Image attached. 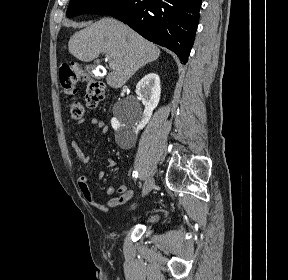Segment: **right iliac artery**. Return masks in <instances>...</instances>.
<instances>
[{
  "label": "right iliac artery",
  "mask_w": 288,
  "mask_h": 280,
  "mask_svg": "<svg viewBox=\"0 0 288 280\" xmlns=\"http://www.w3.org/2000/svg\"><path fill=\"white\" fill-rule=\"evenodd\" d=\"M132 177L136 179L138 177V173L136 171H133Z\"/></svg>",
  "instance_id": "right-iliac-artery-1"
}]
</instances>
